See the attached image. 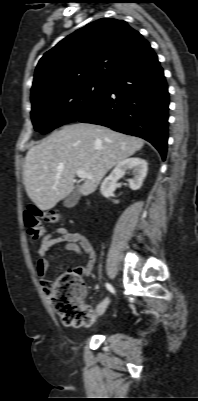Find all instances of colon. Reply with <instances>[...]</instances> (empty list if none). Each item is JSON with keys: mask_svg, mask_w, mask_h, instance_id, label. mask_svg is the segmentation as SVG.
Masks as SVG:
<instances>
[{"mask_svg": "<svg viewBox=\"0 0 198 401\" xmlns=\"http://www.w3.org/2000/svg\"><path fill=\"white\" fill-rule=\"evenodd\" d=\"M23 219L29 236L37 240L44 233L42 221L55 224L61 217L56 212H43L31 206L24 212ZM48 293L52 306L63 324L79 327L89 326L93 322V311L84 304V286L78 269H70L62 274Z\"/></svg>", "mask_w": 198, "mask_h": 401, "instance_id": "colon-1", "label": "colon"}]
</instances>
